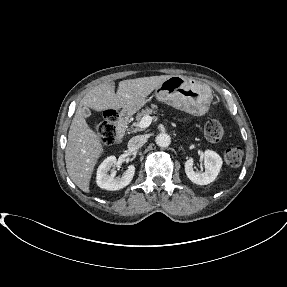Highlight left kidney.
I'll list each match as a JSON object with an SVG mask.
<instances>
[{"mask_svg": "<svg viewBox=\"0 0 287 287\" xmlns=\"http://www.w3.org/2000/svg\"><path fill=\"white\" fill-rule=\"evenodd\" d=\"M193 163V158H189L185 162V173L187 177L195 184L207 185L216 179L223 162L222 158L216 152L206 150L204 152L205 171L202 173L195 172L193 169Z\"/></svg>", "mask_w": 287, "mask_h": 287, "instance_id": "5707ae66", "label": "left kidney"}]
</instances>
